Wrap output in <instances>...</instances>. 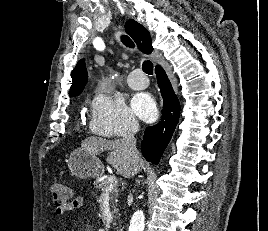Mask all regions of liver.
I'll return each mask as SVG.
<instances>
[{"label":"liver","mask_w":268,"mask_h":231,"mask_svg":"<svg viewBox=\"0 0 268 231\" xmlns=\"http://www.w3.org/2000/svg\"><path fill=\"white\" fill-rule=\"evenodd\" d=\"M81 146L94 155L109 151L106 161L123 177L129 178L137 174L142 168L143 160L140 158L138 162H132L123 140L111 141L98 137H88L82 141Z\"/></svg>","instance_id":"6515ba94"}]
</instances>
